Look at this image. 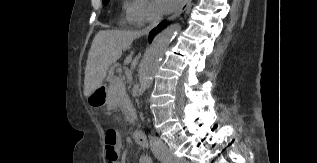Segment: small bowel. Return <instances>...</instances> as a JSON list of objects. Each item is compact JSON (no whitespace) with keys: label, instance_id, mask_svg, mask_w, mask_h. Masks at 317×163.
<instances>
[{"label":"small bowel","instance_id":"small-bowel-1","mask_svg":"<svg viewBox=\"0 0 317 163\" xmlns=\"http://www.w3.org/2000/svg\"><path fill=\"white\" fill-rule=\"evenodd\" d=\"M139 163H152V159L148 154L143 153L139 157Z\"/></svg>","mask_w":317,"mask_h":163}]
</instances>
